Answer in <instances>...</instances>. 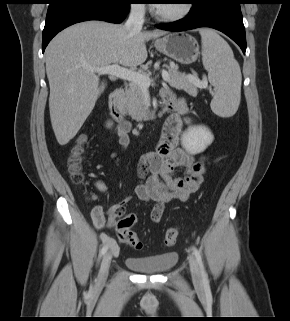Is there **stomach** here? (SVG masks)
Returning a JSON list of instances; mask_svg holds the SVG:
<instances>
[{
    "mask_svg": "<svg viewBox=\"0 0 290 321\" xmlns=\"http://www.w3.org/2000/svg\"><path fill=\"white\" fill-rule=\"evenodd\" d=\"M154 45L159 52L185 65L194 63L200 54L196 39L185 32L169 33L156 39Z\"/></svg>",
    "mask_w": 290,
    "mask_h": 321,
    "instance_id": "obj_1",
    "label": "stomach"
}]
</instances>
